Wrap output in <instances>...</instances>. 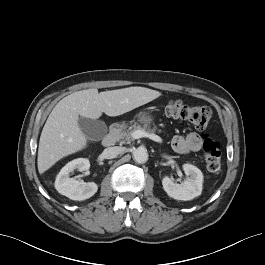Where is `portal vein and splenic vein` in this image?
Here are the masks:
<instances>
[{
  "mask_svg": "<svg viewBox=\"0 0 265 265\" xmlns=\"http://www.w3.org/2000/svg\"><path fill=\"white\" fill-rule=\"evenodd\" d=\"M132 137L134 139H140V138H143V137H147L149 139H152L155 142L162 143L161 137H159L158 135L153 134V133L145 132L143 130H136V131H134L132 133Z\"/></svg>",
  "mask_w": 265,
  "mask_h": 265,
  "instance_id": "portal-vein-and-splenic-vein-1",
  "label": "portal vein and splenic vein"
}]
</instances>
